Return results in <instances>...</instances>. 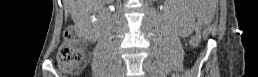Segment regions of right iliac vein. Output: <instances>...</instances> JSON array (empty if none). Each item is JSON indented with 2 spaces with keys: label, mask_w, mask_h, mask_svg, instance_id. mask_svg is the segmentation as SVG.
<instances>
[{
  "label": "right iliac vein",
  "mask_w": 258,
  "mask_h": 77,
  "mask_svg": "<svg viewBox=\"0 0 258 77\" xmlns=\"http://www.w3.org/2000/svg\"><path fill=\"white\" fill-rule=\"evenodd\" d=\"M121 72H122V60L120 58H117L113 63L110 77H118Z\"/></svg>",
  "instance_id": "1"
}]
</instances>
